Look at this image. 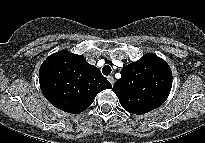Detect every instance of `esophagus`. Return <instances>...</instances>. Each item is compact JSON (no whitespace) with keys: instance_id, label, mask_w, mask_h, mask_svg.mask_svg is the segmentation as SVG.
Wrapping results in <instances>:
<instances>
[{"instance_id":"1","label":"esophagus","mask_w":205,"mask_h":143,"mask_svg":"<svg viewBox=\"0 0 205 143\" xmlns=\"http://www.w3.org/2000/svg\"><path fill=\"white\" fill-rule=\"evenodd\" d=\"M107 79L111 83V85H113L115 83V79L113 76H108Z\"/></svg>"}]
</instances>
